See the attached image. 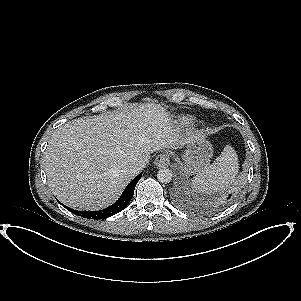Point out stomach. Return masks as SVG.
<instances>
[{
    "instance_id": "stomach-1",
    "label": "stomach",
    "mask_w": 301,
    "mask_h": 301,
    "mask_svg": "<svg viewBox=\"0 0 301 301\" xmlns=\"http://www.w3.org/2000/svg\"><path fill=\"white\" fill-rule=\"evenodd\" d=\"M213 148L204 136H193L187 142V149L182 155L181 169L187 173H199L210 163Z\"/></svg>"
}]
</instances>
